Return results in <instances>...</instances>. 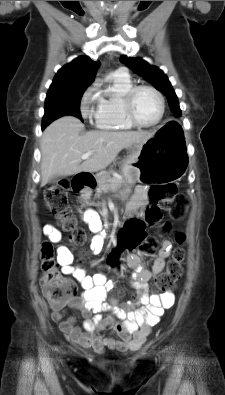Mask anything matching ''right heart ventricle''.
Listing matches in <instances>:
<instances>
[{
    "label": "right heart ventricle",
    "instance_id": "obj_1",
    "mask_svg": "<svg viewBox=\"0 0 225 395\" xmlns=\"http://www.w3.org/2000/svg\"><path fill=\"white\" fill-rule=\"evenodd\" d=\"M132 86L128 74L113 72L106 76L104 86L95 94V126L98 129L129 130L135 127L127 121L123 112V97Z\"/></svg>",
    "mask_w": 225,
    "mask_h": 395
}]
</instances>
